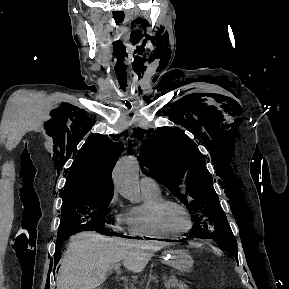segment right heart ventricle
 Masks as SVG:
<instances>
[{
	"mask_svg": "<svg viewBox=\"0 0 289 289\" xmlns=\"http://www.w3.org/2000/svg\"><path fill=\"white\" fill-rule=\"evenodd\" d=\"M144 201L141 205L130 207L125 213L126 230L131 236L148 238H167L157 231L149 219V207L161 199L160 192L142 191Z\"/></svg>",
	"mask_w": 289,
	"mask_h": 289,
	"instance_id": "1",
	"label": "right heart ventricle"
}]
</instances>
